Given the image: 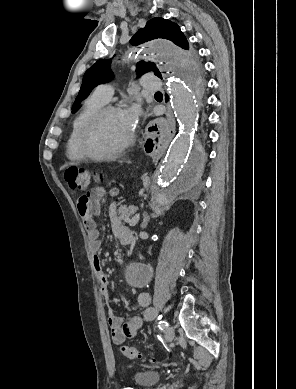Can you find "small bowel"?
<instances>
[{
    "instance_id": "1",
    "label": "small bowel",
    "mask_w": 296,
    "mask_h": 389,
    "mask_svg": "<svg viewBox=\"0 0 296 389\" xmlns=\"http://www.w3.org/2000/svg\"><path fill=\"white\" fill-rule=\"evenodd\" d=\"M117 192L118 191L115 188L106 190L103 187H96L89 193L81 196L77 202L78 213L87 231L90 249L94 253L93 264L100 282V291L106 301L110 300V291L107 276L102 269L101 260L97 255L101 249L102 243L99 239L96 217L100 213L101 203L109 197L116 196ZM109 219L112 231L120 241L125 237L132 240L130 230L120 222L115 203L110 206ZM137 302L142 308H144L142 316H133L127 321H124L120 316L115 315L112 311L110 312L108 325L110 328L111 339L114 344L120 345L124 343L126 339L134 337L144 322L152 320L154 311L151 308L150 294L147 292H140L137 296Z\"/></svg>"
}]
</instances>
